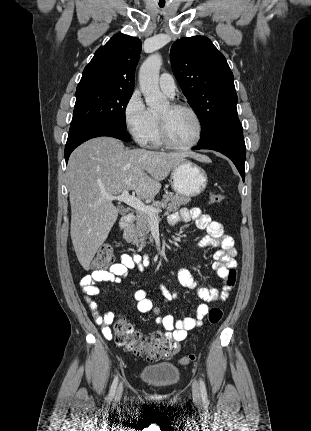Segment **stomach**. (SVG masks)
Wrapping results in <instances>:
<instances>
[{"label":"stomach","instance_id":"stomach-1","mask_svg":"<svg viewBox=\"0 0 311 431\" xmlns=\"http://www.w3.org/2000/svg\"><path fill=\"white\" fill-rule=\"evenodd\" d=\"M169 182L177 196L195 198L206 190L208 178L203 168L193 164L190 160H185L172 170Z\"/></svg>","mask_w":311,"mask_h":431}]
</instances>
